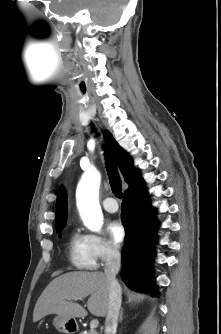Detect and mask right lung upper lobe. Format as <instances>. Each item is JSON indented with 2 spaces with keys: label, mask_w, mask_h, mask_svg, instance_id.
Segmentation results:
<instances>
[{
  "label": "right lung upper lobe",
  "mask_w": 221,
  "mask_h": 334,
  "mask_svg": "<svg viewBox=\"0 0 221 334\" xmlns=\"http://www.w3.org/2000/svg\"><path fill=\"white\" fill-rule=\"evenodd\" d=\"M104 136L120 167L126 183L129 185V188L141 182L142 180L140 179V173L133 167L132 158L121 148V146L116 142L114 137L108 131L105 132ZM66 215V194L64 190L60 188L56 202V229L64 227Z\"/></svg>",
  "instance_id": "right-lung-upper-lobe-1"
}]
</instances>
